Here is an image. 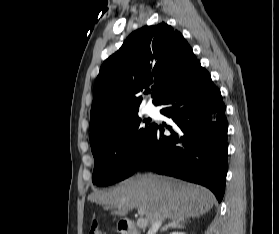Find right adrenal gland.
<instances>
[{
    "mask_svg": "<svg viewBox=\"0 0 279 234\" xmlns=\"http://www.w3.org/2000/svg\"><path fill=\"white\" fill-rule=\"evenodd\" d=\"M184 223H185L184 220L172 221V222H169L167 225L163 226L160 231L165 232L169 228H181L184 226Z\"/></svg>",
    "mask_w": 279,
    "mask_h": 234,
    "instance_id": "1",
    "label": "right adrenal gland"
}]
</instances>
